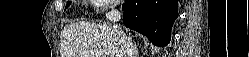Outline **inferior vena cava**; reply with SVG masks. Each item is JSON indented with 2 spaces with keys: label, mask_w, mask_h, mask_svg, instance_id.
<instances>
[{
  "label": "inferior vena cava",
  "mask_w": 249,
  "mask_h": 57,
  "mask_svg": "<svg viewBox=\"0 0 249 57\" xmlns=\"http://www.w3.org/2000/svg\"><path fill=\"white\" fill-rule=\"evenodd\" d=\"M120 3H114L110 10L106 13L107 25L114 29L117 33L120 49L122 51L121 57H135V48L124 32L117 28V23L122 18V11L118 8Z\"/></svg>",
  "instance_id": "obj_1"
}]
</instances>
